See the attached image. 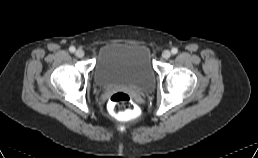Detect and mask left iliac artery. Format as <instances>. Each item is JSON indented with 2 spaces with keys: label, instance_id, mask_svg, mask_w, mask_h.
Returning <instances> with one entry per match:
<instances>
[{
  "label": "left iliac artery",
  "instance_id": "1",
  "mask_svg": "<svg viewBox=\"0 0 258 158\" xmlns=\"http://www.w3.org/2000/svg\"><path fill=\"white\" fill-rule=\"evenodd\" d=\"M171 52H172V54H174V55H175V54H177L178 49L174 47V48H172V49H171Z\"/></svg>",
  "mask_w": 258,
  "mask_h": 158
}]
</instances>
